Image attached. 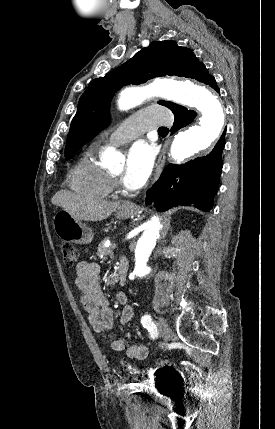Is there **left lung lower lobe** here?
<instances>
[{"label": "left lung lower lobe", "instance_id": "1", "mask_svg": "<svg viewBox=\"0 0 275 429\" xmlns=\"http://www.w3.org/2000/svg\"><path fill=\"white\" fill-rule=\"evenodd\" d=\"M197 80L219 92L214 77L208 73L205 66L201 68ZM172 112L175 121L171 133L187 126L196 117V112L180 105L172 109ZM224 136L225 132L208 155L195 158L184 165H168L148 191L146 204L153 203L159 211L178 205L210 211L213 197L218 191L223 166L221 154L225 146Z\"/></svg>", "mask_w": 275, "mask_h": 429}]
</instances>
